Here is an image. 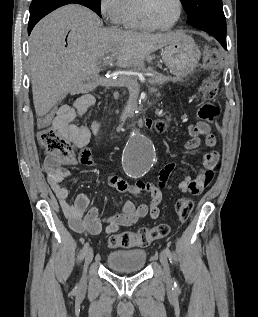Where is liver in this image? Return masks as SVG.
Returning <instances> with one entry per match:
<instances>
[{
    "instance_id": "1",
    "label": "liver",
    "mask_w": 258,
    "mask_h": 317,
    "mask_svg": "<svg viewBox=\"0 0 258 317\" xmlns=\"http://www.w3.org/2000/svg\"><path fill=\"white\" fill-rule=\"evenodd\" d=\"M101 20L90 8L66 4L37 22L30 34L29 66L33 102L38 116L65 98L77 94L91 80L102 82L99 58L116 54L117 66H142L145 56L181 40L184 30L135 32L100 28ZM67 40V42H66ZM87 82V84H86Z\"/></svg>"
}]
</instances>
